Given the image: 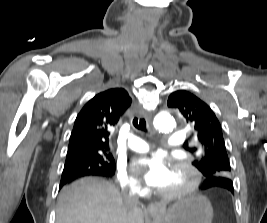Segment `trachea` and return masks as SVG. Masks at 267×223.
Listing matches in <instances>:
<instances>
[{
	"instance_id": "3493384b",
	"label": "trachea",
	"mask_w": 267,
	"mask_h": 223,
	"mask_svg": "<svg viewBox=\"0 0 267 223\" xmlns=\"http://www.w3.org/2000/svg\"><path fill=\"white\" fill-rule=\"evenodd\" d=\"M133 126L138 130L147 132L146 121L144 118L139 119L138 117H134Z\"/></svg>"
}]
</instances>
